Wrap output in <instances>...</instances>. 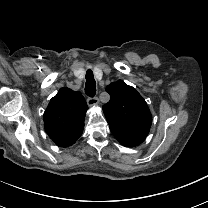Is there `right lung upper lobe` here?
Wrapping results in <instances>:
<instances>
[{
	"mask_svg": "<svg viewBox=\"0 0 208 208\" xmlns=\"http://www.w3.org/2000/svg\"><path fill=\"white\" fill-rule=\"evenodd\" d=\"M87 109L82 94L65 87L50 100L43 115L44 125L57 146H70L81 136Z\"/></svg>",
	"mask_w": 208,
	"mask_h": 208,
	"instance_id": "right-lung-upper-lobe-1",
	"label": "right lung upper lobe"
}]
</instances>
